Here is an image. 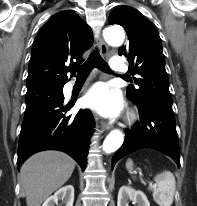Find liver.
Returning a JSON list of instances; mask_svg holds the SVG:
<instances>
[{
  "label": "liver",
  "instance_id": "liver-1",
  "mask_svg": "<svg viewBox=\"0 0 197 206\" xmlns=\"http://www.w3.org/2000/svg\"><path fill=\"white\" fill-rule=\"evenodd\" d=\"M75 161L59 151H43L27 159L20 169V184L27 206H40L71 177Z\"/></svg>",
  "mask_w": 197,
  "mask_h": 206
}]
</instances>
